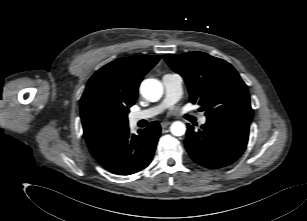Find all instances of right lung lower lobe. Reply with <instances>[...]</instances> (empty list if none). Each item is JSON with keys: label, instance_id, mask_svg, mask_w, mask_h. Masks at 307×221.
Here are the masks:
<instances>
[{"label": "right lung lower lobe", "instance_id": "1", "mask_svg": "<svg viewBox=\"0 0 307 221\" xmlns=\"http://www.w3.org/2000/svg\"><path fill=\"white\" fill-rule=\"evenodd\" d=\"M160 125L154 121L147 129L131 134L129 128L104 142L91 154L109 172L130 175L149 165L160 136Z\"/></svg>", "mask_w": 307, "mask_h": 221}]
</instances>
